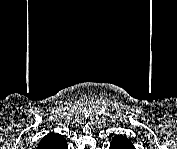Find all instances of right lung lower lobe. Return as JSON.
<instances>
[{
	"instance_id": "right-lung-lower-lobe-1",
	"label": "right lung lower lobe",
	"mask_w": 177,
	"mask_h": 149,
	"mask_svg": "<svg viewBox=\"0 0 177 149\" xmlns=\"http://www.w3.org/2000/svg\"><path fill=\"white\" fill-rule=\"evenodd\" d=\"M55 133H49L47 134L41 141H40V147L47 146L48 144H51L54 140H56ZM60 148L66 149L67 148V142L62 143L61 145H58Z\"/></svg>"
}]
</instances>
